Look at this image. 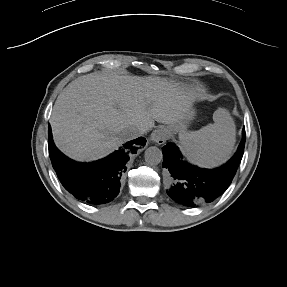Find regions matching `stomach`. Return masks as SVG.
I'll return each instance as SVG.
<instances>
[{
	"label": "stomach",
	"instance_id": "0dacf381",
	"mask_svg": "<svg viewBox=\"0 0 287 287\" xmlns=\"http://www.w3.org/2000/svg\"><path fill=\"white\" fill-rule=\"evenodd\" d=\"M194 116H195V110L193 107H190L183 120L165 127L169 136H173L178 132L179 134L185 132L187 130L188 123L194 118Z\"/></svg>",
	"mask_w": 287,
	"mask_h": 287
}]
</instances>
